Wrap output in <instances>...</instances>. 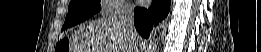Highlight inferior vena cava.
<instances>
[{
  "label": "inferior vena cava",
  "mask_w": 261,
  "mask_h": 52,
  "mask_svg": "<svg viewBox=\"0 0 261 52\" xmlns=\"http://www.w3.org/2000/svg\"><path fill=\"white\" fill-rule=\"evenodd\" d=\"M119 24L122 26L124 32L135 42L134 52H137L136 35L134 31V7L130 4H123L120 7L118 16Z\"/></svg>",
  "instance_id": "602c4592"
}]
</instances>
